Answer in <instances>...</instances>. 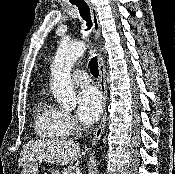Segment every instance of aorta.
I'll return each mask as SVG.
<instances>
[{
    "label": "aorta",
    "instance_id": "obj_1",
    "mask_svg": "<svg viewBox=\"0 0 175 174\" xmlns=\"http://www.w3.org/2000/svg\"><path fill=\"white\" fill-rule=\"evenodd\" d=\"M86 47L83 41L60 44L51 65L52 93L57 102L66 109H74L76 106L71 67L84 54Z\"/></svg>",
    "mask_w": 175,
    "mask_h": 174
}]
</instances>
